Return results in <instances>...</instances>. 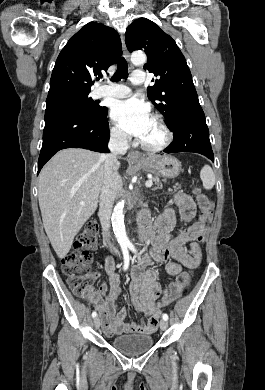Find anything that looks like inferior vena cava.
Masks as SVG:
<instances>
[{"instance_id": "602c4592", "label": "inferior vena cava", "mask_w": 265, "mask_h": 390, "mask_svg": "<svg viewBox=\"0 0 265 390\" xmlns=\"http://www.w3.org/2000/svg\"><path fill=\"white\" fill-rule=\"evenodd\" d=\"M108 148L110 153L102 155V160L104 161V179L100 192L98 214L110 251L112 253H118V250L109 242L108 238L110 236V217L114 200L122 186L120 176L114 171V167L117 163V156L124 155L127 152V135L123 132H113L108 143Z\"/></svg>"}]
</instances>
